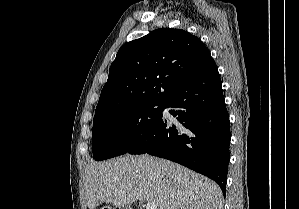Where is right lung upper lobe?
<instances>
[{
    "label": "right lung upper lobe",
    "mask_w": 299,
    "mask_h": 209,
    "mask_svg": "<svg viewBox=\"0 0 299 209\" xmlns=\"http://www.w3.org/2000/svg\"><path fill=\"white\" fill-rule=\"evenodd\" d=\"M206 69L218 68L198 37L181 29L154 30L119 49L95 115L124 105L164 102L182 81Z\"/></svg>",
    "instance_id": "right-lung-upper-lobe-1"
}]
</instances>
